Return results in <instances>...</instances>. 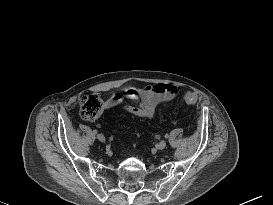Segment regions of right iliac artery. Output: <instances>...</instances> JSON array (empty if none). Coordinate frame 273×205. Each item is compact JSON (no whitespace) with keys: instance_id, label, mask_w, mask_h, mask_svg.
Masks as SVG:
<instances>
[{"instance_id":"obj_1","label":"right iliac artery","mask_w":273,"mask_h":205,"mask_svg":"<svg viewBox=\"0 0 273 205\" xmlns=\"http://www.w3.org/2000/svg\"><path fill=\"white\" fill-rule=\"evenodd\" d=\"M93 133L96 134V133H97V130H93Z\"/></svg>"}]
</instances>
